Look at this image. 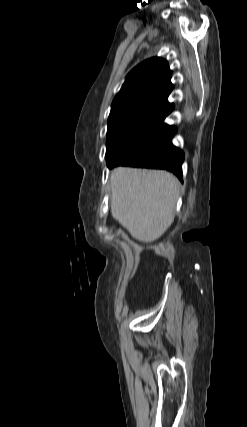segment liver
Listing matches in <instances>:
<instances>
[{"label": "liver", "mask_w": 247, "mask_h": 427, "mask_svg": "<svg viewBox=\"0 0 247 427\" xmlns=\"http://www.w3.org/2000/svg\"><path fill=\"white\" fill-rule=\"evenodd\" d=\"M110 180L113 218L141 242L160 238L174 221L178 179L164 170L118 167Z\"/></svg>", "instance_id": "6515ba94"}]
</instances>
